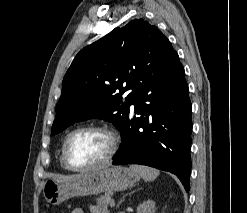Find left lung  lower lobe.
I'll return each mask as SVG.
<instances>
[{
  "mask_svg": "<svg viewBox=\"0 0 247 213\" xmlns=\"http://www.w3.org/2000/svg\"><path fill=\"white\" fill-rule=\"evenodd\" d=\"M132 105L134 111L120 131L122 143L113 164H143L171 172L188 192L192 105L176 51L145 76Z\"/></svg>",
  "mask_w": 247,
  "mask_h": 213,
  "instance_id": "left-lung-lower-lobe-1",
  "label": "left lung lower lobe"
}]
</instances>
